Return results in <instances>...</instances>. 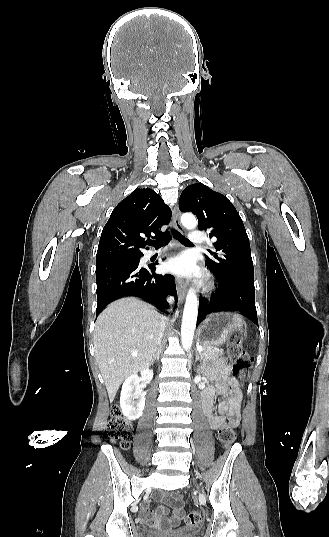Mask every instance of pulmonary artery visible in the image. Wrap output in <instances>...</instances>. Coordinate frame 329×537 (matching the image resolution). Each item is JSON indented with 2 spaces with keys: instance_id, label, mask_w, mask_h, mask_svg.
<instances>
[{
  "instance_id": "1",
  "label": "pulmonary artery",
  "mask_w": 329,
  "mask_h": 537,
  "mask_svg": "<svg viewBox=\"0 0 329 537\" xmlns=\"http://www.w3.org/2000/svg\"><path fill=\"white\" fill-rule=\"evenodd\" d=\"M189 240L193 245H200L205 241V237L201 231H192L189 235Z\"/></svg>"
}]
</instances>
